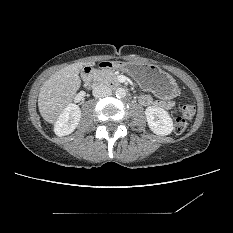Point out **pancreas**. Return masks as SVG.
I'll list each match as a JSON object with an SVG mask.
<instances>
[{
	"label": "pancreas",
	"mask_w": 233,
	"mask_h": 233,
	"mask_svg": "<svg viewBox=\"0 0 233 233\" xmlns=\"http://www.w3.org/2000/svg\"><path fill=\"white\" fill-rule=\"evenodd\" d=\"M95 79L100 84H111V83H117V76L116 74L107 69L103 70H96L95 71Z\"/></svg>",
	"instance_id": "1"
}]
</instances>
